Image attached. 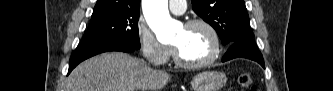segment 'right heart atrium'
<instances>
[{
  "label": "right heart atrium",
  "mask_w": 333,
  "mask_h": 91,
  "mask_svg": "<svg viewBox=\"0 0 333 91\" xmlns=\"http://www.w3.org/2000/svg\"><path fill=\"white\" fill-rule=\"evenodd\" d=\"M136 38L144 58L151 64L164 65L172 55V48L158 41L144 20H139Z\"/></svg>",
  "instance_id": "d8ad5b80"
}]
</instances>
